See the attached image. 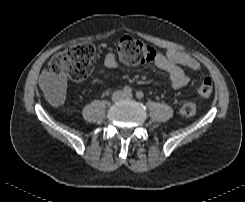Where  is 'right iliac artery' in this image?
<instances>
[{"label": "right iliac artery", "mask_w": 245, "mask_h": 202, "mask_svg": "<svg viewBox=\"0 0 245 202\" xmlns=\"http://www.w3.org/2000/svg\"><path fill=\"white\" fill-rule=\"evenodd\" d=\"M123 92H124L125 95H130L132 93V89L129 86H125L123 88Z\"/></svg>", "instance_id": "82829eb1"}]
</instances>
